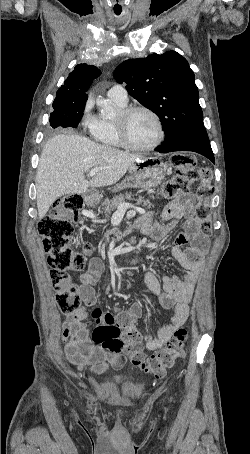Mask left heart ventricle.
Masks as SVG:
<instances>
[{"instance_id":"left-heart-ventricle-1","label":"left heart ventricle","mask_w":250,"mask_h":454,"mask_svg":"<svg viewBox=\"0 0 250 454\" xmlns=\"http://www.w3.org/2000/svg\"><path fill=\"white\" fill-rule=\"evenodd\" d=\"M128 135L134 145H150L158 136L154 119L145 112H136L128 120Z\"/></svg>"}]
</instances>
